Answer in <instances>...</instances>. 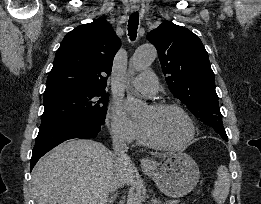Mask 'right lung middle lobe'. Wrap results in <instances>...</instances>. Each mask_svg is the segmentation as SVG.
Returning a JSON list of instances; mask_svg holds the SVG:
<instances>
[{"mask_svg":"<svg viewBox=\"0 0 261 204\" xmlns=\"http://www.w3.org/2000/svg\"><path fill=\"white\" fill-rule=\"evenodd\" d=\"M108 97L105 90H62L44 94L41 120L88 116L105 120Z\"/></svg>","mask_w":261,"mask_h":204,"instance_id":"right-lung-middle-lobe-1","label":"right lung middle lobe"}]
</instances>
